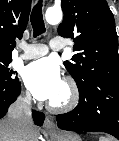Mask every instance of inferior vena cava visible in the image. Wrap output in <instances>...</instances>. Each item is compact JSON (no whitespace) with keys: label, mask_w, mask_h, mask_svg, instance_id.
Segmentation results:
<instances>
[{"label":"inferior vena cava","mask_w":119,"mask_h":141,"mask_svg":"<svg viewBox=\"0 0 119 141\" xmlns=\"http://www.w3.org/2000/svg\"><path fill=\"white\" fill-rule=\"evenodd\" d=\"M10 119L17 131L26 136L29 134L33 124L31 96L19 97L8 109Z\"/></svg>","instance_id":"602c4592"}]
</instances>
